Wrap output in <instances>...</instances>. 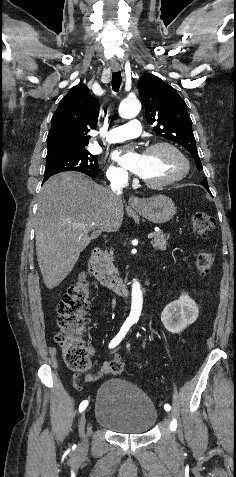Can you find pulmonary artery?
Wrapping results in <instances>:
<instances>
[{
    "mask_svg": "<svg viewBox=\"0 0 236 477\" xmlns=\"http://www.w3.org/2000/svg\"><path fill=\"white\" fill-rule=\"evenodd\" d=\"M141 132V123L137 119L130 120L127 124L113 128L107 132L110 143L125 141L137 137Z\"/></svg>",
    "mask_w": 236,
    "mask_h": 477,
    "instance_id": "1",
    "label": "pulmonary artery"
}]
</instances>
